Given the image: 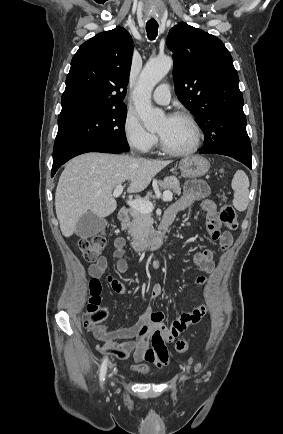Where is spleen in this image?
Returning a JSON list of instances; mask_svg holds the SVG:
<instances>
[{
  "label": "spleen",
  "mask_w": 283,
  "mask_h": 434,
  "mask_svg": "<svg viewBox=\"0 0 283 434\" xmlns=\"http://www.w3.org/2000/svg\"><path fill=\"white\" fill-rule=\"evenodd\" d=\"M249 179L246 173L238 170L232 180L234 190L233 205L238 211H244L248 206Z\"/></svg>",
  "instance_id": "3e777b00"
}]
</instances>
